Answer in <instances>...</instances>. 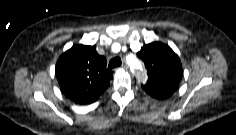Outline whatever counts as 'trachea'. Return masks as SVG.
Segmentation results:
<instances>
[{
	"label": "trachea",
	"instance_id": "1",
	"mask_svg": "<svg viewBox=\"0 0 236 135\" xmlns=\"http://www.w3.org/2000/svg\"><path fill=\"white\" fill-rule=\"evenodd\" d=\"M122 61L119 57H114L110 60L108 67L109 68H116L121 65Z\"/></svg>",
	"mask_w": 236,
	"mask_h": 135
}]
</instances>
